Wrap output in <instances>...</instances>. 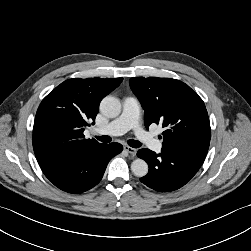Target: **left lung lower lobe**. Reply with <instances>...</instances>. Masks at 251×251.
I'll return each instance as SVG.
<instances>
[{
	"label": "left lung lower lobe",
	"instance_id": "obj_1",
	"mask_svg": "<svg viewBox=\"0 0 251 251\" xmlns=\"http://www.w3.org/2000/svg\"><path fill=\"white\" fill-rule=\"evenodd\" d=\"M137 156L149 166V173L140 181L159 192L174 191L184 186L197 173L205 159L194 152L171 148H162L160 154L141 149Z\"/></svg>",
	"mask_w": 251,
	"mask_h": 251
}]
</instances>
